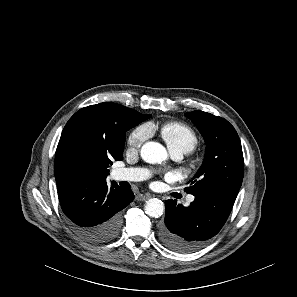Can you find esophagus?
<instances>
[{"label": "esophagus", "instance_id": "obj_1", "mask_svg": "<svg viewBox=\"0 0 297 297\" xmlns=\"http://www.w3.org/2000/svg\"><path fill=\"white\" fill-rule=\"evenodd\" d=\"M149 198H151V195L148 193H138L136 195V200H138V201H146Z\"/></svg>", "mask_w": 297, "mask_h": 297}]
</instances>
